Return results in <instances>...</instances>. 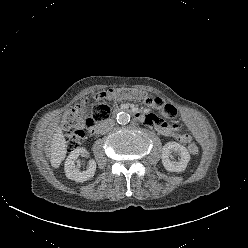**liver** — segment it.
<instances>
[{
    "instance_id": "obj_1",
    "label": "liver",
    "mask_w": 248,
    "mask_h": 248,
    "mask_svg": "<svg viewBox=\"0 0 248 248\" xmlns=\"http://www.w3.org/2000/svg\"><path fill=\"white\" fill-rule=\"evenodd\" d=\"M66 141L60 128L50 139L49 157L52 167L58 168L66 157Z\"/></svg>"
}]
</instances>
